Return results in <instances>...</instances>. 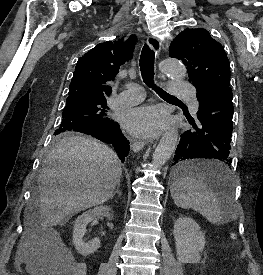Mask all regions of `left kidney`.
Returning <instances> with one entry per match:
<instances>
[{"label":"left kidney","mask_w":263,"mask_h":275,"mask_svg":"<svg viewBox=\"0 0 263 275\" xmlns=\"http://www.w3.org/2000/svg\"><path fill=\"white\" fill-rule=\"evenodd\" d=\"M173 235L179 262H200V252L205 247V235L200 226L191 218L179 217L174 224Z\"/></svg>","instance_id":"left-kidney-1"}]
</instances>
